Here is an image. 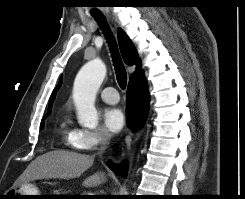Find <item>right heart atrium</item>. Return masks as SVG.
<instances>
[{"mask_svg": "<svg viewBox=\"0 0 245 199\" xmlns=\"http://www.w3.org/2000/svg\"><path fill=\"white\" fill-rule=\"evenodd\" d=\"M110 135L103 128L77 129L76 145L80 150H94L107 144Z\"/></svg>", "mask_w": 245, "mask_h": 199, "instance_id": "d8ad5b80", "label": "right heart atrium"}]
</instances>
